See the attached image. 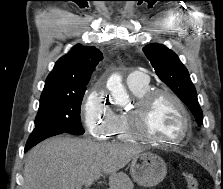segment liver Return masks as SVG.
I'll list each match as a JSON object with an SVG mask.
<instances>
[{"label":"liver","instance_id":"6515ba94","mask_svg":"<svg viewBox=\"0 0 223 189\" xmlns=\"http://www.w3.org/2000/svg\"><path fill=\"white\" fill-rule=\"evenodd\" d=\"M141 152L143 148L134 144L53 137L28 152L23 189H82L101 173L110 175V189H124L127 176L118 171Z\"/></svg>","mask_w":223,"mask_h":189}]
</instances>
